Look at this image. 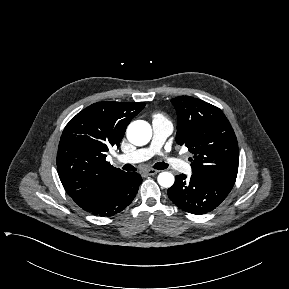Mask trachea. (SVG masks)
<instances>
[{
	"instance_id": "3493384b",
	"label": "trachea",
	"mask_w": 289,
	"mask_h": 289,
	"mask_svg": "<svg viewBox=\"0 0 289 289\" xmlns=\"http://www.w3.org/2000/svg\"><path fill=\"white\" fill-rule=\"evenodd\" d=\"M122 168L126 171H135L136 170V168L134 166H132L131 164H125ZM154 168L159 169V170L166 169V168H168V164H166L164 162H159V163H156L154 165Z\"/></svg>"
}]
</instances>
